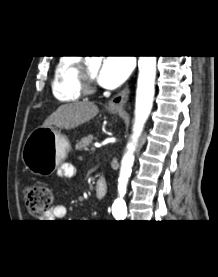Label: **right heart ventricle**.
Returning <instances> with one entry per match:
<instances>
[{
	"instance_id": "1",
	"label": "right heart ventricle",
	"mask_w": 218,
	"mask_h": 277,
	"mask_svg": "<svg viewBox=\"0 0 218 277\" xmlns=\"http://www.w3.org/2000/svg\"><path fill=\"white\" fill-rule=\"evenodd\" d=\"M80 63V59L76 56L61 57L56 63L51 88L57 100L74 102L82 97L78 76Z\"/></svg>"
}]
</instances>
